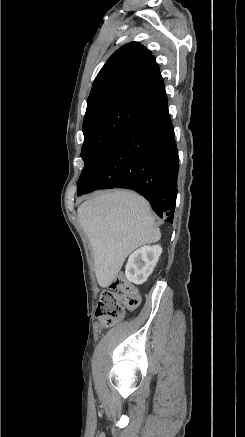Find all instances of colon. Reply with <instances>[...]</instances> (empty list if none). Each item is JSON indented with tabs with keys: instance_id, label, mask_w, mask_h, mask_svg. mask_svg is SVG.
Masks as SVG:
<instances>
[{
	"instance_id": "1",
	"label": "colon",
	"mask_w": 245,
	"mask_h": 437,
	"mask_svg": "<svg viewBox=\"0 0 245 437\" xmlns=\"http://www.w3.org/2000/svg\"><path fill=\"white\" fill-rule=\"evenodd\" d=\"M141 301L138 290L123 276H118L97 303L96 315L104 326L120 321L125 309H136Z\"/></svg>"
}]
</instances>
